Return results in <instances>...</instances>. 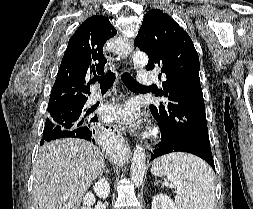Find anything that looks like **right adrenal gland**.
<instances>
[{"label":"right adrenal gland","instance_id":"right-adrenal-gland-1","mask_svg":"<svg viewBox=\"0 0 253 209\" xmlns=\"http://www.w3.org/2000/svg\"><path fill=\"white\" fill-rule=\"evenodd\" d=\"M102 172L108 174V173H109V170H108L106 167H104Z\"/></svg>","mask_w":253,"mask_h":209}]
</instances>
